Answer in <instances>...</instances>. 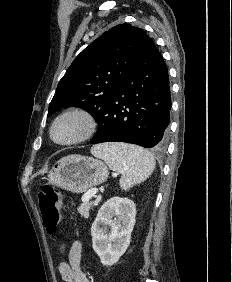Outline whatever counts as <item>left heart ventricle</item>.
<instances>
[{"label":"left heart ventricle","mask_w":232,"mask_h":282,"mask_svg":"<svg viewBox=\"0 0 232 282\" xmlns=\"http://www.w3.org/2000/svg\"><path fill=\"white\" fill-rule=\"evenodd\" d=\"M81 129L80 122L76 120H68L59 124L55 131L54 135L57 139L63 140L75 136Z\"/></svg>","instance_id":"b2bd125f"}]
</instances>
